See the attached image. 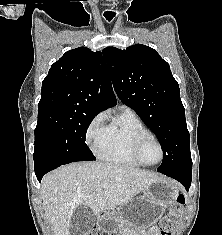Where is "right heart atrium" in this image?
I'll return each instance as SVG.
<instances>
[{
	"label": "right heart atrium",
	"mask_w": 222,
	"mask_h": 235,
	"mask_svg": "<svg viewBox=\"0 0 222 235\" xmlns=\"http://www.w3.org/2000/svg\"><path fill=\"white\" fill-rule=\"evenodd\" d=\"M105 130V114L101 112L91 120L86 130V142L92 151L97 152L99 149L104 139Z\"/></svg>",
	"instance_id": "1"
}]
</instances>
